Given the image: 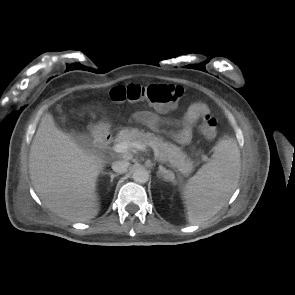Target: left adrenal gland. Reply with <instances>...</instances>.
Here are the masks:
<instances>
[{"mask_svg":"<svg viewBox=\"0 0 295 295\" xmlns=\"http://www.w3.org/2000/svg\"><path fill=\"white\" fill-rule=\"evenodd\" d=\"M171 171L166 170L162 165H159V171L157 172V177L163 179L164 181H170Z\"/></svg>","mask_w":295,"mask_h":295,"instance_id":"a2214340","label":"left adrenal gland"}]
</instances>
